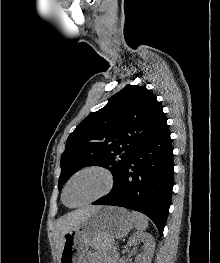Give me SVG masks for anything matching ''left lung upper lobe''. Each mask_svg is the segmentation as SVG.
<instances>
[{
	"label": "left lung upper lobe",
	"mask_w": 220,
	"mask_h": 263,
	"mask_svg": "<svg viewBox=\"0 0 220 263\" xmlns=\"http://www.w3.org/2000/svg\"><path fill=\"white\" fill-rule=\"evenodd\" d=\"M163 119L159 102L146 87L125 86L69 135L61 157L59 189L75 172L92 165L110 170L115 183L135 147Z\"/></svg>",
	"instance_id": "5c2ea615"
}]
</instances>
